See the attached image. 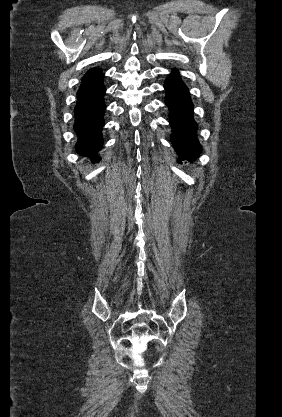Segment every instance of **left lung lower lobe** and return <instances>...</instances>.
<instances>
[{
  "label": "left lung lower lobe",
  "mask_w": 282,
  "mask_h": 417,
  "mask_svg": "<svg viewBox=\"0 0 282 417\" xmlns=\"http://www.w3.org/2000/svg\"><path fill=\"white\" fill-rule=\"evenodd\" d=\"M165 103L170 110L169 122L172 127L171 141L178 153V162H192L201 153L197 140V124L193 119V103L189 91L177 71H173L165 81Z\"/></svg>",
  "instance_id": "left-lung-lower-lobe-1"
}]
</instances>
